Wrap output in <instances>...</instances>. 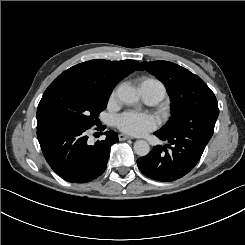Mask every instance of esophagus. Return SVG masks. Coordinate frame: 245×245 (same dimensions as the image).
Here are the masks:
<instances>
[{"mask_svg": "<svg viewBox=\"0 0 245 245\" xmlns=\"http://www.w3.org/2000/svg\"><path fill=\"white\" fill-rule=\"evenodd\" d=\"M118 138H119L120 141H124V140L131 139L132 137H130V136L126 135V134H119Z\"/></svg>", "mask_w": 245, "mask_h": 245, "instance_id": "34e87169", "label": "esophagus"}]
</instances>
